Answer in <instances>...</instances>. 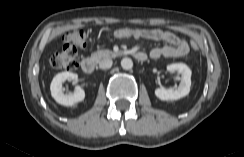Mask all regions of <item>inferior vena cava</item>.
I'll list each match as a JSON object with an SVG mask.
<instances>
[{
	"instance_id": "obj_1",
	"label": "inferior vena cava",
	"mask_w": 244,
	"mask_h": 157,
	"mask_svg": "<svg viewBox=\"0 0 244 157\" xmlns=\"http://www.w3.org/2000/svg\"><path fill=\"white\" fill-rule=\"evenodd\" d=\"M112 64H113L112 60L106 58L99 62V67L100 69H109L111 68Z\"/></svg>"
}]
</instances>
